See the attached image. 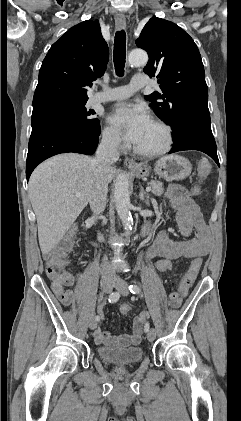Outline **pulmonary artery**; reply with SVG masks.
Masks as SVG:
<instances>
[{"label": "pulmonary artery", "instance_id": "pulmonary-artery-1", "mask_svg": "<svg viewBox=\"0 0 241 421\" xmlns=\"http://www.w3.org/2000/svg\"><path fill=\"white\" fill-rule=\"evenodd\" d=\"M146 85V79L144 76L137 75L134 76L130 82V84L120 87H115L113 89L99 92L95 94L91 98V102L99 103V102H108V101H115V100H122L130 97L133 95L134 92L143 88Z\"/></svg>", "mask_w": 241, "mask_h": 421}]
</instances>
